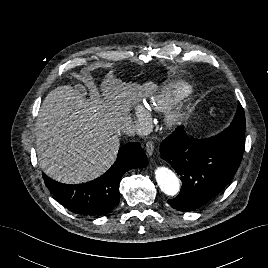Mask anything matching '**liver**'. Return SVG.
I'll list each match as a JSON object with an SVG mask.
<instances>
[{
  "mask_svg": "<svg viewBox=\"0 0 268 268\" xmlns=\"http://www.w3.org/2000/svg\"><path fill=\"white\" fill-rule=\"evenodd\" d=\"M154 85L117 82L109 76L102 96L83 98L81 87L59 86L44 99L36 120L39 165L50 178L81 183L97 178L115 162L132 105Z\"/></svg>",
  "mask_w": 268,
  "mask_h": 268,
  "instance_id": "liver-1",
  "label": "liver"
}]
</instances>
